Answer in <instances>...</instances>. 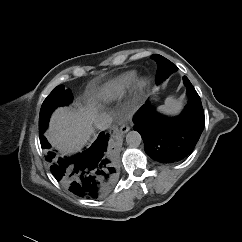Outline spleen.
<instances>
[{
	"mask_svg": "<svg viewBox=\"0 0 242 242\" xmlns=\"http://www.w3.org/2000/svg\"><path fill=\"white\" fill-rule=\"evenodd\" d=\"M180 107L181 103L169 96L166 98L165 104L160 106L158 109L165 114L175 115L179 112Z\"/></svg>",
	"mask_w": 242,
	"mask_h": 242,
	"instance_id": "spleen-1",
	"label": "spleen"
}]
</instances>
